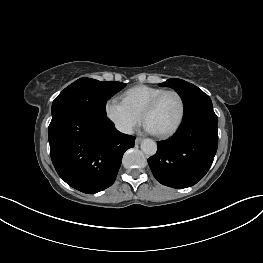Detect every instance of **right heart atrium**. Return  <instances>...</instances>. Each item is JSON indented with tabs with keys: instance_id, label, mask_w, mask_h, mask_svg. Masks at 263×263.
<instances>
[{
	"instance_id": "d8ad5b80",
	"label": "right heart atrium",
	"mask_w": 263,
	"mask_h": 263,
	"mask_svg": "<svg viewBox=\"0 0 263 263\" xmlns=\"http://www.w3.org/2000/svg\"><path fill=\"white\" fill-rule=\"evenodd\" d=\"M105 114L114 127L123 134H131L142 120L140 115L116 98H110L106 102Z\"/></svg>"
}]
</instances>
